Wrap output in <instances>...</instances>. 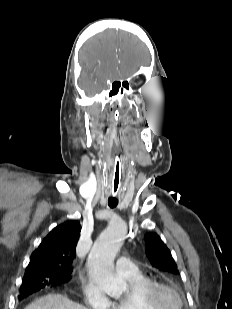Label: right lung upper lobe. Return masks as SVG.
Segmentation results:
<instances>
[{
    "instance_id": "1",
    "label": "right lung upper lobe",
    "mask_w": 232,
    "mask_h": 309,
    "mask_svg": "<svg viewBox=\"0 0 232 309\" xmlns=\"http://www.w3.org/2000/svg\"><path fill=\"white\" fill-rule=\"evenodd\" d=\"M81 226L69 220L55 227L32 253L25 275L41 271L70 275Z\"/></svg>"
}]
</instances>
